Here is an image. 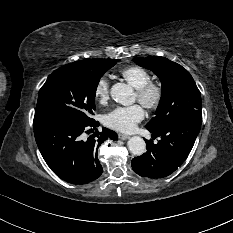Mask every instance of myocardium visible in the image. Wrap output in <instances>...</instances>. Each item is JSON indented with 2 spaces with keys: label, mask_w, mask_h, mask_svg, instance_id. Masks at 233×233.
Segmentation results:
<instances>
[{
  "label": "myocardium",
  "mask_w": 233,
  "mask_h": 233,
  "mask_svg": "<svg viewBox=\"0 0 233 233\" xmlns=\"http://www.w3.org/2000/svg\"><path fill=\"white\" fill-rule=\"evenodd\" d=\"M163 94L162 85L152 81L137 89L138 101L148 109L157 108L163 99Z\"/></svg>",
  "instance_id": "1"
}]
</instances>
